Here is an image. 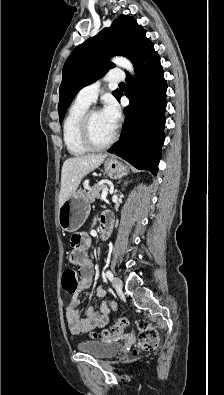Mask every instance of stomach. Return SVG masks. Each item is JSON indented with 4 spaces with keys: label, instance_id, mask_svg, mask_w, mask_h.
Wrapping results in <instances>:
<instances>
[{
    "label": "stomach",
    "instance_id": "1",
    "mask_svg": "<svg viewBox=\"0 0 224 395\" xmlns=\"http://www.w3.org/2000/svg\"><path fill=\"white\" fill-rule=\"evenodd\" d=\"M104 170L112 179H119L129 172L127 166L113 158L104 162ZM89 212L88 197L83 191H77L59 207L58 223L62 230L75 232L84 224Z\"/></svg>",
    "mask_w": 224,
    "mask_h": 395
}]
</instances>
